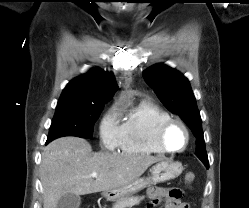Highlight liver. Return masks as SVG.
Instances as JSON below:
<instances>
[{"label":"liver","mask_w":249,"mask_h":208,"mask_svg":"<svg viewBox=\"0 0 249 208\" xmlns=\"http://www.w3.org/2000/svg\"><path fill=\"white\" fill-rule=\"evenodd\" d=\"M161 160L162 157L151 155L92 153L91 145L85 139L58 138L42 153L43 208H56L66 193L86 195L126 186ZM92 173L98 176L90 177Z\"/></svg>","instance_id":"6515ba94"}]
</instances>
